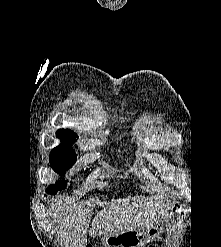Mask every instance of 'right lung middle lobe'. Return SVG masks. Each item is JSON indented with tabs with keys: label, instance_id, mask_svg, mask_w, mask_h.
I'll return each mask as SVG.
<instances>
[{
	"label": "right lung middle lobe",
	"instance_id": "right-lung-middle-lobe-1",
	"mask_svg": "<svg viewBox=\"0 0 221 247\" xmlns=\"http://www.w3.org/2000/svg\"><path fill=\"white\" fill-rule=\"evenodd\" d=\"M57 136L61 139L62 143L51 151L50 164L55 172L62 174L76 162V154L72 148V143L76 142V138L58 134ZM65 184V181L58 182L56 185H51L46 192L56 195L59 190L66 188Z\"/></svg>",
	"mask_w": 221,
	"mask_h": 247
}]
</instances>
